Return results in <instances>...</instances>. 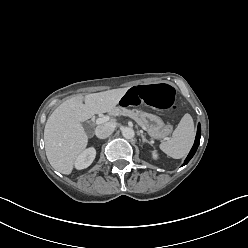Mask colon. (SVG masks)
Returning <instances> with one entry per match:
<instances>
[{
  "label": "colon",
  "instance_id": "5ec220e1",
  "mask_svg": "<svg viewBox=\"0 0 248 248\" xmlns=\"http://www.w3.org/2000/svg\"><path fill=\"white\" fill-rule=\"evenodd\" d=\"M120 102L125 107L147 103L155 108L168 110L177 108V95L175 88L168 84H150L131 88L121 97Z\"/></svg>",
  "mask_w": 248,
  "mask_h": 248
}]
</instances>
